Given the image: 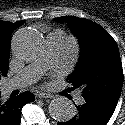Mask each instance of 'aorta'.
<instances>
[{
	"instance_id": "762f6f07",
	"label": "aorta",
	"mask_w": 125,
	"mask_h": 125,
	"mask_svg": "<svg viewBox=\"0 0 125 125\" xmlns=\"http://www.w3.org/2000/svg\"><path fill=\"white\" fill-rule=\"evenodd\" d=\"M15 50L22 59H32L40 51L42 38L39 33L31 29H21L14 37ZM50 116L60 122L70 120L75 115V108L66 97H59L51 101L49 107Z\"/></svg>"
}]
</instances>
